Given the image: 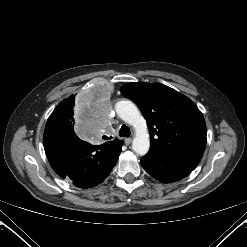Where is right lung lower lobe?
<instances>
[{"instance_id":"right-lung-lower-lobe-1","label":"right lung lower lobe","mask_w":247,"mask_h":247,"mask_svg":"<svg viewBox=\"0 0 247 247\" xmlns=\"http://www.w3.org/2000/svg\"><path fill=\"white\" fill-rule=\"evenodd\" d=\"M44 149L54 171L79 188H91L111 172L121 144L92 145L80 140L72 127L47 122Z\"/></svg>"}]
</instances>
